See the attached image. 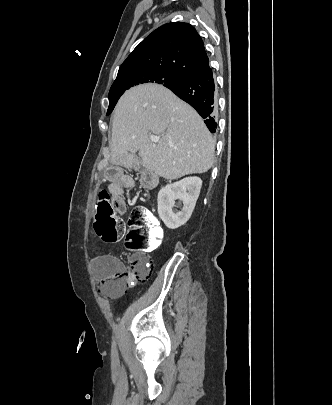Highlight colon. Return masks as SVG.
<instances>
[{
	"label": "colon",
	"mask_w": 332,
	"mask_h": 405,
	"mask_svg": "<svg viewBox=\"0 0 332 405\" xmlns=\"http://www.w3.org/2000/svg\"><path fill=\"white\" fill-rule=\"evenodd\" d=\"M141 182L145 186L153 185V175L144 172ZM112 192L102 190L99 193L96 213L94 217V230L96 234L107 243L117 242L124 234L126 226L117 215L114 214L109 199ZM129 227L131 236L127 240L126 253L130 256L129 271H118L110 277L102 280L100 292L106 297H115L122 294L134 281H146L149 279L153 262L149 256H154L156 245L162 241L163 231L156 216L144 207L133 209Z\"/></svg>",
	"instance_id": "1"
}]
</instances>
